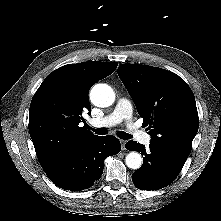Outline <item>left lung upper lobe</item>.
Here are the masks:
<instances>
[{
  "mask_svg": "<svg viewBox=\"0 0 221 221\" xmlns=\"http://www.w3.org/2000/svg\"><path fill=\"white\" fill-rule=\"evenodd\" d=\"M117 72L149 130L150 144L185 162L199 127L190 87L178 75L158 67L122 64Z\"/></svg>",
  "mask_w": 221,
  "mask_h": 221,
  "instance_id": "5c2ea615",
  "label": "left lung upper lobe"
}]
</instances>
